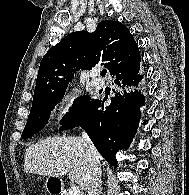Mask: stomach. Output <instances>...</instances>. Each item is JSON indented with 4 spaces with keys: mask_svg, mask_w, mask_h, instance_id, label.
I'll return each instance as SVG.
<instances>
[{
    "mask_svg": "<svg viewBox=\"0 0 189 195\" xmlns=\"http://www.w3.org/2000/svg\"><path fill=\"white\" fill-rule=\"evenodd\" d=\"M52 180H53V177H50V176H48L47 178H46V181H45V184H46V188L48 189V190H50L52 187H51V184H52ZM55 182V181H54ZM53 182V183H54ZM55 184V183H54Z\"/></svg>",
    "mask_w": 189,
    "mask_h": 195,
    "instance_id": "1",
    "label": "stomach"
}]
</instances>
